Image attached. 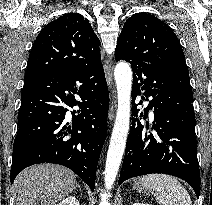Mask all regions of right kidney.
Returning a JSON list of instances; mask_svg holds the SVG:
<instances>
[{"label": "right kidney", "mask_w": 212, "mask_h": 205, "mask_svg": "<svg viewBox=\"0 0 212 205\" xmlns=\"http://www.w3.org/2000/svg\"><path fill=\"white\" fill-rule=\"evenodd\" d=\"M56 205H80V204L79 201L74 196H70L68 198H65L59 204Z\"/></svg>", "instance_id": "right-kidney-1"}]
</instances>
